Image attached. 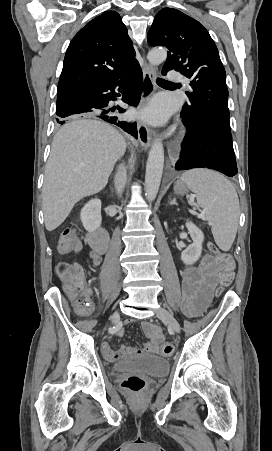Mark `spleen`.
I'll use <instances>...</instances> for the list:
<instances>
[{
	"label": "spleen",
	"instance_id": "spleen-1",
	"mask_svg": "<svg viewBox=\"0 0 272 451\" xmlns=\"http://www.w3.org/2000/svg\"><path fill=\"white\" fill-rule=\"evenodd\" d=\"M180 180L194 192L197 204L203 208L211 224L213 237L220 249L229 251L237 233L240 206L237 192L222 174L196 168L182 174Z\"/></svg>",
	"mask_w": 272,
	"mask_h": 451
}]
</instances>
